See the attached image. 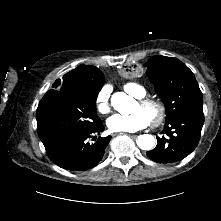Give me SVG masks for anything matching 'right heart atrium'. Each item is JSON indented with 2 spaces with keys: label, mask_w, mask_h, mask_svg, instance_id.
I'll use <instances>...</instances> for the list:
<instances>
[{
  "label": "right heart atrium",
  "mask_w": 221,
  "mask_h": 221,
  "mask_svg": "<svg viewBox=\"0 0 221 221\" xmlns=\"http://www.w3.org/2000/svg\"><path fill=\"white\" fill-rule=\"evenodd\" d=\"M110 97H111V89L107 85L102 86L97 92L95 99L96 108L103 115L108 114L111 110Z\"/></svg>",
  "instance_id": "d8ad5b80"
}]
</instances>
